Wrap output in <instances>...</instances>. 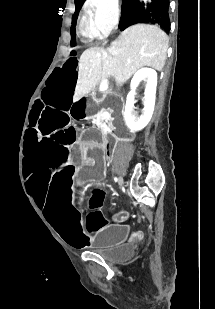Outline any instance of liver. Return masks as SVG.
<instances>
[{"label":"liver","mask_w":215,"mask_h":309,"mask_svg":"<svg viewBox=\"0 0 215 309\" xmlns=\"http://www.w3.org/2000/svg\"><path fill=\"white\" fill-rule=\"evenodd\" d=\"M168 36L157 24H133L122 30L109 48H86L79 60L73 102L87 96L100 80L113 76L122 86L138 68L153 66L162 70L168 48Z\"/></svg>","instance_id":"6515ba94"}]
</instances>
